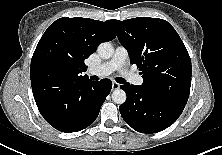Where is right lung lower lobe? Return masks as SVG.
<instances>
[{
  "label": "right lung lower lobe",
  "instance_id": "98d812e1",
  "mask_svg": "<svg viewBox=\"0 0 222 155\" xmlns=\"http://www.w3.org/2000/svg\"><path fill=\"white\" fill-rule=\"evenodd\" d=\"M111 88L108 79L94 82L86 78L61 88H36L33 95L44 119L55 129L71 133L95 121Z\"/></svg>",
  "mask_w": 222,
  "mask_h": 155
}]
</instances>
